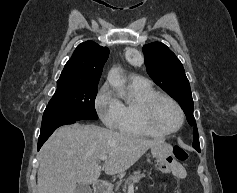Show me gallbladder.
Wrapping results in <instances>:
<instances>
[{
	"label": "gallbladder",
	"mask_w": 237,
	"mask_h": 193,
	"mask_svg": "<svg viewBox=\"0 0 237 193\" xmlns=\"http://www.w3.org/2000/svg\"><path fill=\"white\" fill-rule=\"evenodd\" d=\"M74 193H92V189L89 185L78 183L76 185Z\"/></svg>",
	"instance_id": "gallbladder-1"
}]
</instances>
